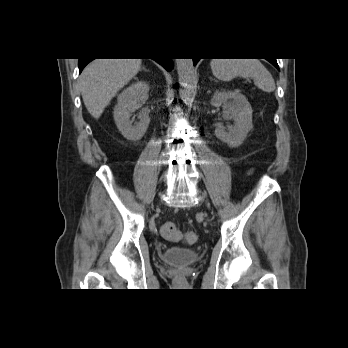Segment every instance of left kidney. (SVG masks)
I'll return each instance as SVG.
<instances>
[{
  "instance_id": "5707ae66",
  "label": "left kidney",
  "mask_w": 348,
  "mask_h": 348,
  "mask_svg": "<svg viewBox=\"0 0 348 348\" xmlns=\"http://www.w3.org/2000/svg\"><path fill=\"white\" fill-rule=\"evenodd\" d=\"M210 104L214 107L224 105L226 117L234 119L235 125L226 132L225 128L218 124L215 129L217 138L227 143L230 147L240 146L248 132L253 128L252 107L246 97L240 91H216Z\"/></svg>"
}]
</instances>
